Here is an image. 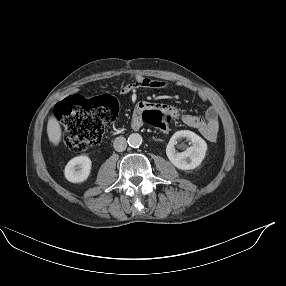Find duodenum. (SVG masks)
Listing matches in <instances>:
<instances>
[{"label":"duodenum","instance_id":"obj_1","mask_svg":"<svg viewBox=\"0 0 286 286\" xmlns=\"http://www.w3.org/2000/svg\"><path fill=\"white\" fill-rule=\"evenodd\" d=\"M141 125H142V121L140 118L137 117L132 120L131 126L133 129H138L140 128Z\"/></svg>","mask_w":286,"mask_h":286}]
</instances>
